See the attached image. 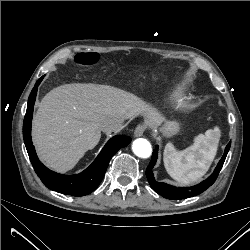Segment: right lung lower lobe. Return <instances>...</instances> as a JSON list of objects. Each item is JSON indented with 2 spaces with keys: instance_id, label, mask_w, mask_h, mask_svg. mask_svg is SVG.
Masks as SVG:
<instances>
[{
  "instance_id": "obj_1",
  "label": "right lung lower lobe",
  "mask_w": 250,
  "mask_h": 250,
  "mask_svg": "<svg viewBox=\"0 0 250 250\" xmlns=\"http://www.w3.org/2000/svg\"><path fill=\"white\" fill-rule=\"evenodd\" d=\"M42 76L35 84L29 99L23 123V138L32 166L43 184L56 192L72 196H84L94 191L102 181L112 156L131 142V138L117 135L111 138L94 162L83 172L76 175H63L51 171L38 159L31 139V121L37 88Z\"/></svg>"
}]
</instances>
